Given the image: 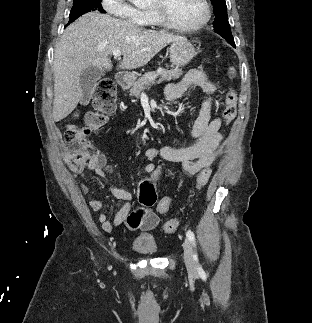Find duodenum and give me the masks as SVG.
I'll list each match as a JSON object with an SVG mask.
<instances>
[{
  "instance_id": "duodenum-1",
  "label": "duodenum",
  "mask_w": 312,
  "mask_h": 323,
  "mask_svg": "<svg viewBox=\"0 0 312 323\" xmlns=\"http://www.w3.org/2000/svg\"><path fill=\"white\" fill-rule=\"evenodd\" d=\"M134 77L128 73L120 72L116 76L117 84L120 88H127L131 85Z\"/></svg>"
}]
</instances>
